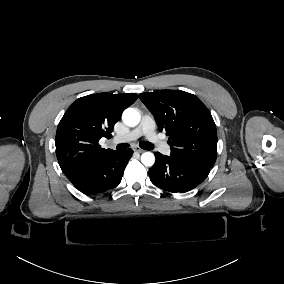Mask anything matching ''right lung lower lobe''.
<instances>
[{
    "label": "right lung lower lobe",
    "instance_id": "98d812e1",
    "mask_svg": "<svg viewBox=\"0 0 284 284\" xmlns=\"http://www.w3.org/2000/svg\"><path fill=\"white\" fill-rule=\"evenodd\" d=\"M133 151H115L73 185L88 195H98L117 187Z\"/></svg>",
    "mask_w": 284,
    "mask_h": 284
}]
</instances>
